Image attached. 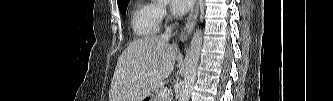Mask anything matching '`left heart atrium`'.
<instances>
[{
    "mask_svg": "<svg viewBox=\"0 0 333 101\" xmlns=\"http://www.w3.org/2000/svg\"><path fill=\"white\" fill-rule=\"evenodd\" d=\"M171 8L177 14H184L186 13L192 4L191 0H171L170 1Z\"/></svg>",
    "mask_w": 333,
    "mask_h": 101,
    "instance_id": "1",
    "label": "left heart atrium"
}]
</instances>
